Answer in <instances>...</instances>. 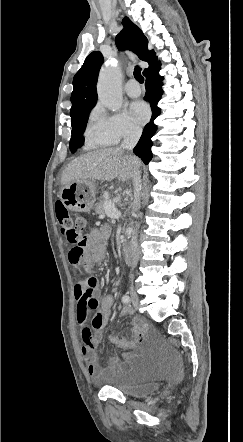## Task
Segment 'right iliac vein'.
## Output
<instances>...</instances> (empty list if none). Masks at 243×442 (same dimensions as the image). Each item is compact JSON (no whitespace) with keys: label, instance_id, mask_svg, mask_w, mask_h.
Segmentation results:
<instances>
[{"label":"right iliac vein","instance_id":"obj_1","mask_svg":"<svg viewBox=\"0 0 243 442\" xmlns=\"http://www.w3.org/2000/svg\"><path fill=\"white\" fill-rule=\"evenodd\" d=\"M129 294H130V298H131L133 305L135 307H138L139 306V296L132 286L129 288Z\"/></svg>","mask_w":243,"mask_h":442}]
</instances>
